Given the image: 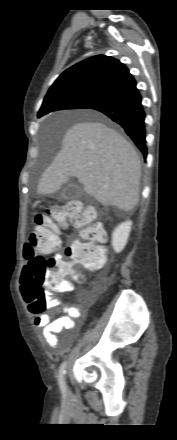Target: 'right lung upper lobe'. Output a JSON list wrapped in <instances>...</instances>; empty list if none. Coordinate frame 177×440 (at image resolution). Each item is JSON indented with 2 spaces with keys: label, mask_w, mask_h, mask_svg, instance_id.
Segmentation results:
<instances>
[{
  "label": "right lung upper lobe",
  "mask_w": 177,
  "mask_h": 440,
  "mask_svg": "<svg viewBox=\"0 0 177 440\" xmlns=\"http://www.w3.org/2000/svg\"><path fill=\"white\" fill-rule=\"evenodd\" d=\"M135 80L119 60L105 55L85 59L64 71L49 89L46 97L60 92H80L105 96Z\"/></svg>",
  "instance_id": "1"
}]
</instances>
